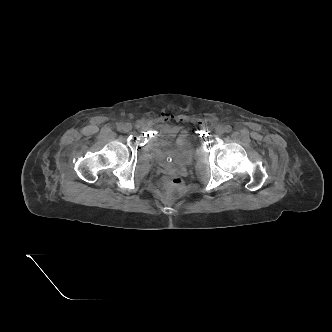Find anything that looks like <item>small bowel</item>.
<instances>
[{
  "instance_id": "small-bowel-1",
  "label": "small bowel",
  "mask_w": 332,
  "mask_h": 332,
  "mask_svg": "<svg viewBox=\"0 0 332 332\" xmlns=\"http://www.w3.org/2000/svg\"><path fill=\"white\" fill-rule=\"evenodd\" d=\"M161 131L164 134L167 135H173V134H179L176 143H179L183 140V138L188 134V130L186 129H182L179 126H172V125H168V124H163L161 126Z\"/></svg>"
}]
</instances>
